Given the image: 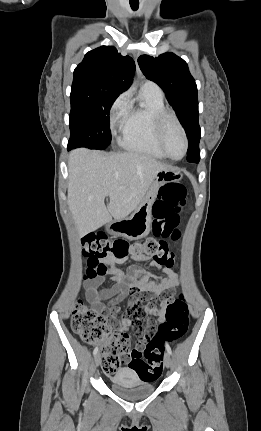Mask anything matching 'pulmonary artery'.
<instances>
[{"label": "pulmonary artery", "mask_w": 261, "mask_h": 431, "mask_svg": "<svg viewBox=\"0 0 261 431\" xmlns=\"http://www.w3.org/2000/svg\"><path fill=\"white\" fill-rule=\"evenodd\" d=\"M142 88L155 94H162L160 87L153 81H146Z\"/></svg>", "instance_id": "e3ab8cb5"}]
</instances>
